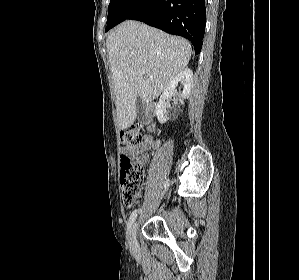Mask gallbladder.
<instances>
[{
	"label": "gallbladder",
	"mask_w": 299,
	"mask_h": 280,
	"mask_svg": "<svg viewBox=\"0 0 299 280\" xmlns=\"http://www.w3.org/2000/svg\"><path fill=\"white\" fill-rule=\"evenodd\" d=\"M144 102L140 97L136 99V117L138 120H143Z\"/></svg>",
	"instance_id": "1"
}]
</instances>
